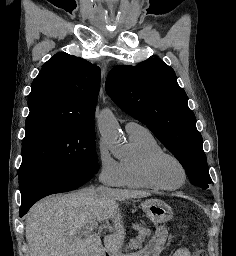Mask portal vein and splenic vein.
Here are the masks:
<instances>
[{"mask_svg": "<svg viewBox=\"0 0 236 256\" xmlns=\"http://www.w3.org/2000/svg\"><path fill=\"white\" fill-rule=\"evenodd\" d=\"M95 228H97L99 232L103 230V226H98L97 222H90V224H87L85 228H82V230H80L79 238H83V236H86V234H91L92 230H95Z\"/></svg>", "mask_w": 236, "mask_h": 256, "instance_id": "obj_1", "label": "portal vein and splenic vein"}]
</instances>
